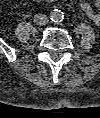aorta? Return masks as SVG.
I'll use <instances>...</instances> for the list:
<instances>
[{
    "label": "aorta",
    "instance_id": "762f6f07",
    "mask_svg": "<svg viewBox=\"0 0 100 118\" xmlns=\"http://www.w3.org/2000/svg\"><path fill=\"white\" fill-rule=\"evenodd\" d=\"M50 18L54 22H61L64 19V13L61 10L54 9L50 12Z\"/></svg>",
    "mask_w": 100,
    "mask_h": 118
}]
</instances>
